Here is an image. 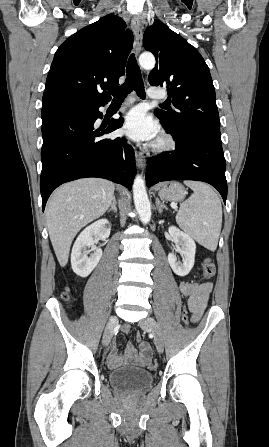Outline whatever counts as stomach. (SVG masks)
I'll return each instance as SVG.
<instances>
[{
  "label": "stomach",
  "mask_w": 269,
  "mask_h": 447,
  "mask_svg": "<svg viewBox=\"0 0 269 447\" xmlns=\"http://www.w3.org/2000/svg\"><path fill=\"white\" fill-rule=\"evenodd\" d=\"M156 190H159L158 194L160 198L168 200V202H182L186 196V190L179 182H164V184H158Z\"/></svg>",
  "instance_id": "obj_1"
}]
</instances>
